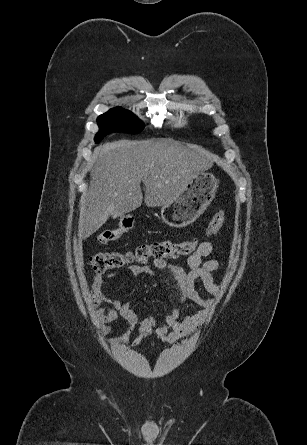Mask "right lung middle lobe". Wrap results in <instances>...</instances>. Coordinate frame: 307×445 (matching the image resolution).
Returning <instances> with one entry per match:
<instances>
[{
	"instance_id": "obj_1",
	"label": "right lung middle lobe",
	"mask_w": 307,
	"mask_h": 445,
	"mask_svg": "<svg viewBox=\"0 0 307 445\" xmlns=\"http://www.w3.org/2000/svg\"><path fill=\"white\" fill-rule=\"evenodd\" d=\"M97 123L99 132L95 136L96 143L112 132L136 134L144 129V124L132 112L119 107L100 115Z\"/></svg>"
}]
</instances>
